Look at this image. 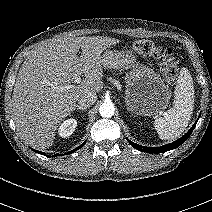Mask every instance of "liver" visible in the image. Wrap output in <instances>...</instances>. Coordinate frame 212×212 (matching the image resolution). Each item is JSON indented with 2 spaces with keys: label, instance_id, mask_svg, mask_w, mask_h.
Masks as SVG:
<instances>
[{
  "label": "liver",
  "instance_id": "obj_1",
  "mask_svg": "<svg viewBox=\"0 0 212 212\" xmlns=\"http://www.w3.org/2000/svg\"><path fill=\"white\" fill-rule=\"evenodd\" d=\"M118 42L104 36L58 37L28 55L14 86L12 112L17 129L30 145L40 149L52 146L78 96L102 90L101 54ZM79 49L81 56L77 55ZM82 74L85 79L72 85Z\"/></svg>",
  "mask_w": 212,
  "mask_h": 212
}]
</instances>
